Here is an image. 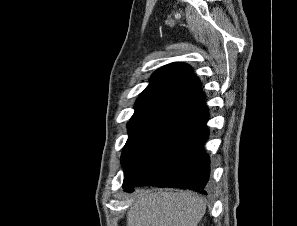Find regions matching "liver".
I'll return each instance as SVG.
<instances>
[{
	"mask_svg": "<svg viewBox=\"0 0 297 226\" xmlns=\"http://www.w3.org/2000/svg\"><path fill=\"white\" fill-rule=\"evenodd\" d=\"M206 211L191 192L140 191L127 213V226H197Z\"/></svg>",
	"mask_w": 297,
	"mask_h": 226,
	"instance_id": "obj_1",
	"label": "liver"
}]
</instances>
